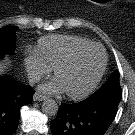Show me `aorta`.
<instances>
[{"label": "aorta", "mask_w": 135, "mask_h": 135, "mask_svg": "<svg viewBox=\"0 0 135 135\" xmlns=\"http://www.w3.org/2000/svg\"><path fill=\"white\" fill-rule=\"evenodd\" d=\"M58 108V104L53 99H47L42 104V112L47 116H55Z\"/></svg>", "instance_id": "762f6f07"}]
</instances>
